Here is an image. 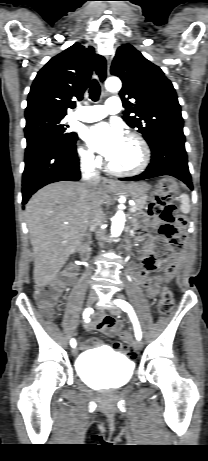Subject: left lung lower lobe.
Segmentation results:
<instances>
[{
  "instance_id": "obj_1",
  "label": "left lung lower lobe",
  "mask_w": 208,
  "mask_h": 461,
  "mask_svg": "<svg viewBox=\"0 0 208 461\" xmlns=\"http://www.w3.org/2000/svg\"><path fill=\"white\" fill-rule=\"evenodd\" d=\"M185 136L164 135L158 138L151 148V163L140 175L120 178L122 181H138L162 175H170L183 181L192 189L191 175L188 169Z\"/></svg>"
}]
</instances>
